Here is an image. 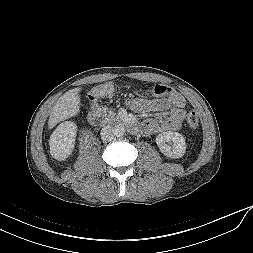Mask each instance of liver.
<instances>
[{"label": "liver", "instance_id": "obj_1", "mask_svg": "<svg viewBox=\"0 0 253 253\" xmlns=\"http://www.w3.org/2000/svg\"><path fill=\"white\" fill-rule=\"evenodd\" d=\"M80 87L64 93L55 103L48 120V128L52 129L61 121L76 116L80 108Z\"/></svg>", "mask_w": 253, "mask_h": 253}]
</instances>
